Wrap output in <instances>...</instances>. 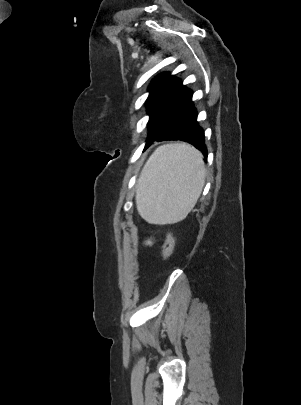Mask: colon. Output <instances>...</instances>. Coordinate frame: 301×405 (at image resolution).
Instances as JSON below:
<instances>
[{
    "label": "colon",
    "mask_w": 301,
    "mask_h": 405,
    "mask_svg": "<svg viewBox=\"0 0 301 405\" xmlns=\"http://www.w3.org/2000/svg\"><path fill=\"white\" fill-rule=\"evenodd\" d=\"M175 245L174 237L171 233L166 234L165 243L163 246V259L168 261L173 253Z\"/></svg>",
    "instance_id": "obj_1"
}]
</instances>
